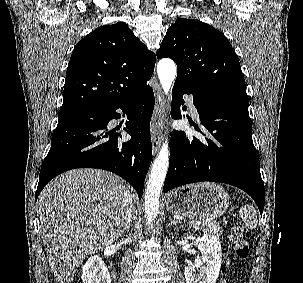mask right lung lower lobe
<instances>
[{"instance_id":"98d812e1","label":"right lung lower lobe","mask_w":303,"mask_h":283,"mask_svg":"<svg viewBox=\"0 0 303 283\" xmlns=\"http://www.w3.org/2000/svg\"><path fill=\"white\" fill-rule=\"evenodd\" d=\"M127 114L125 131L121 135L108 123ZM154 109V93L145 86L133 96L91 112L89 117L58 121L51 148L39 175L36 200L45 185L57 175L75 168H98L111 171L128 181L142 197L144 180L151 164L152 146L150 120Z\"/></svg>"}]
</instances>
